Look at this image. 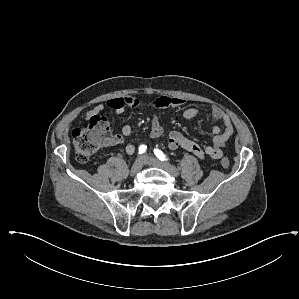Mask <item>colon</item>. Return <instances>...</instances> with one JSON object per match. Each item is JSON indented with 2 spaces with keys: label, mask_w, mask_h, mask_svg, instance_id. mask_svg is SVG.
I'll return each mask as SVG.
<instances>
[{
  "label": "colon",
  "mask_w": 299,
  "mask_h": 299,
  "mask_svg": "<svg viewBox=\"0 0 299 299\" xmlns=\"http://www.w3.org/2000/svg\"><path fill=\"white\" fill-rule=\"evenodd\" d=\"M114 136L111 134L106 118L95 115L89 118L88 124L72 132V142L75 149V158L78 162H87L101 147L112 143ZM224 168L230 166V160L221 159Z\"/></svg>",
  "instance_id": "obj_1"
}]
</instances>
